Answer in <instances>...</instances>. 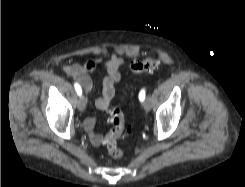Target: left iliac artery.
Returning <instances> with one entry per match:
<instances>
[{
	"label": "left iliac artery",
	"instance_id": "obj_1",
	"mask_svg": "<svg viewBox=\"0 0 245 187\" xmlns=\"http://www.w3.org/2000/svg\"><path fill=\"white\" fill-rule=\"evenodd\" d=\"M144 99H145V90L142 89L139 93V100L144 101Z\"/></svg>",
	"mask_w": 245,
	"mask_h": 187
}]
</instances>
